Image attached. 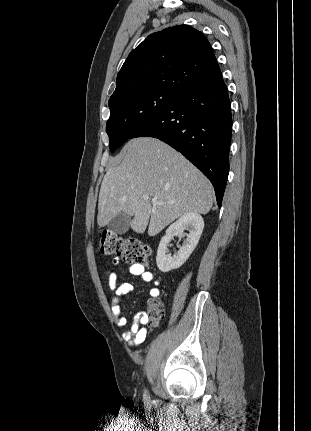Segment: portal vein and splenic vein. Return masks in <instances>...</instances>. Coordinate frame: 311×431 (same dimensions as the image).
<instances>
[{
  "instance_id": "obj_1",
  "label": "portal vein and splenic vein",
  "mask_w": 311,
  "mask_h": 431,
  "mask_svg": "<svg viewBox=\"0 0 311 431\" xmlns=\"http://www.w3.org/2000/svg\"><path fill=\"white\" fill-rule=\"evenodd\" d=\"M143 200H149V196H143ZM152 204H154V206H164L166 202H157V198H153ZM168 204H170V202H168Z\"/></svg>"
}]
</instances>
